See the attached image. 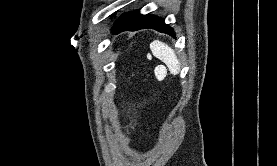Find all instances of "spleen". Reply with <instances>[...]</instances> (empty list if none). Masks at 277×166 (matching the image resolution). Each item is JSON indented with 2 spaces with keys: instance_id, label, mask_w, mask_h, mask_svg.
I'll list each match as a JSON object with an SVG mask.
<instances>
[{
  "instance_id": "3e777b00",
  "label": "spleen",
  "mask_w": 277,
  "mask_h": 166,
  "mask_svg": "<svg viewBox=\"0 0 277 166\" xmlns=\"http://www.w3.org/2000/svg\"><path fill=\"white\" fill-rule=\"evenodd\" d=\"M153 55L166 64L171 74L176 75L180 71V63L174 50L167 44L154 40L150 43Z\"/></svg>"
}]
</instances>
